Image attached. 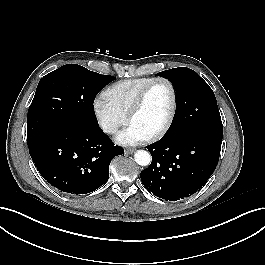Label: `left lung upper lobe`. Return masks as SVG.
Returning a JSON list of instances; mask_svg holds the SVG:
<instances>
[{"label":"left lung upper lobe","mask_w":265,"mask_h":265,"mask_svg":"<svg viewBox=\"0 0 265 265\" xmlns=\"http://www.w3.org/2000/svg\"><path fill=\"white\" fill-rule=\"evenodd\" d=\"M157 75L169 79L177 95L175 119L165 137L192 130L223 136L215 95L195 71L187 67H178Z\"/></svg>","instance_id":"5c2ea615"}]
</instances>
